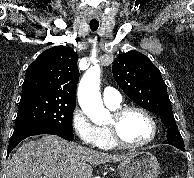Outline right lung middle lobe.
Returning <instances> with one entry per match:
<instances>
[{"mask_svg": "<svg viewBox=\"0 0 194 178\" xmlns=\"http://www.w3.org/2000/svg\"><path fill=\"white\" fill-rule=\"evenodd\" d=\"M75 104L74 101L54 97L20 100L15 128L40 125L73 133L72 115Z\"/></svg>", "mask_w": 194, "mask_h": 178, "instance_id": "obj_1", "label": "right lung middle lobe"}]
</instances>
